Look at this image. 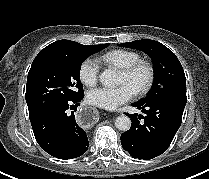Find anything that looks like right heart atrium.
I'll return each instance as SVG.
<instances>
[{"label": "right heart atrium", "mask_w": 209, "mask_h": 179, "mask_svg": "<svg viewBox=\"0 0 209 179\" xmlns=\"http://www.w3.org/2000/svg\"><path fill=\"white\" fill-rule=\"evenodd\" d=\"M79 78L81 82L88 86H94L99 78V65L92 58L85 59L79 67Z\"/></svg>", "instance_id": "d8ad5b80"}]
</instances>
